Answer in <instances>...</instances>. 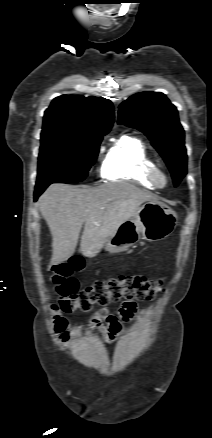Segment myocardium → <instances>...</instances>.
I'll list each match as a JSON object with an SVG mask.
<instances>
[{
	"label": "myocardium",
	"instance_id": "f54148a6",
	"mask_svg": "<svg viewBox=\"0 0 212 438\" xmlns=\"http://www.w3.org/2000/svg\"><path fill=\"white\" fill-rule=\"evenodd\" d=\"M146 176L155 188L162 189L169 183V175L167 171L160 165L154 164L148 168ZM162 179V181H160Z\"/></svg>",
	"mask_w": 212,
	"mask_h": 438
}]
</instances>
